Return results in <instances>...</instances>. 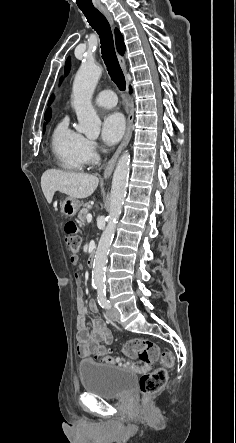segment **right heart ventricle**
I'll return each instance as SVG.
<instances>
[{
  "label": "right heart ventricle",
  "mask_w": 236,
  "mask_h": 443,
  "mask_svg": "<svg viewBox=\"0 0 236 443\" xmlns=\"http://www.w3.org/2000/svg\"><path fill=\"white\" fill-rule=\"evenodd\" d=\"M85 138L69 125L68 118L62 119L51 135V152L56 164L66 171H80L86 162L83 157Z\"/></svg>",
  "instance_id": "1"
}]
</instances>
